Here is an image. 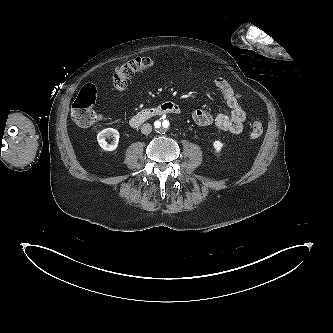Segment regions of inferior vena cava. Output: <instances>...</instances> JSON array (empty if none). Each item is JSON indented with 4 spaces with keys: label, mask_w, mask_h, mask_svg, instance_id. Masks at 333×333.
Returning <instances> with one entry per match:
<instances>
[{
    "label": "inferior vena cava",
    "mask_w": 333,
    "mask_h": 333,
    "mask_svg": "<svg viewBox=\"0 0 333 333\" xmlns=\"http://www.w3.org/2000/svg\"><path fill=\"white\" fill-rule=\"evenodd\" d=\"M151 131H152L151 124L145 123V124L142 125V127H141L142 134L148 135V134L151 133Z\"/></svg>",
    "instance_id": "1"
}]
</instances>
